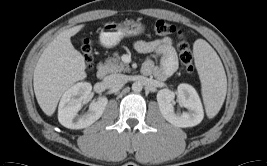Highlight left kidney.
Instances as JSON below:
<instances>
[{"label": "left kidney", "instance_id": "left-kidney-1", "mask_svg": "<svg viewBox=\"0 0 267 166\" xmlns=\"http://www.w3.org/2000/svg\"><path fill=\"white\" fill-rule=\"evenodd\" d=\"M180 104L188 109V112L175 113V93L169 89H162L157 93V102L162 116L176 127H193L198 125L204 117V111L200 97L189 84L182 83L177 88Z\"/></svg>", "mask_w": 267, "mask_h": 166}]
</instances>
